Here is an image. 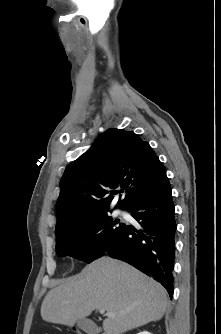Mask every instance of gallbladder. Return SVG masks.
I'll list each match as a JSON object with an SVG mask.
<instances>
[{"instance_id": "1", "label": "gallbladder", "mask_w": 221, "mask_h": 334, "mask_svg": "<svg viewBox=\"0 0 221 334\" xmlns=\"http://www.w3.org/2000/svg\"><path fill=\"white\" fill-rule=\"evenodd\" d=\"M77 325L81 330H83L88 334H97L99 331V328L96 326V324L93 321L86 318L79 319L77 321Z\"/></svg>"}]
</instances>
